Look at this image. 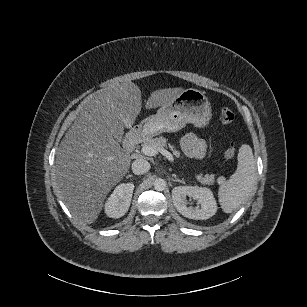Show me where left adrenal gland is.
<instances>
[{
  "mask_svg": "<svg viewBox=\"0 0 307 307\" xmlns=\"http://www.w3.org/2000/svg\"><path fill=\"white\" fill-rule=\"evenodd\" d=\"M172 181H174V182H180V183L185 184V181H184V180H181V179H178V178H172Z\"/></svg>",
  "mask_w": 307,
  "mask_h": 307,
  "instance_id": "obj_1",
  "label": "left adrenal gland"
}]
</instances>
